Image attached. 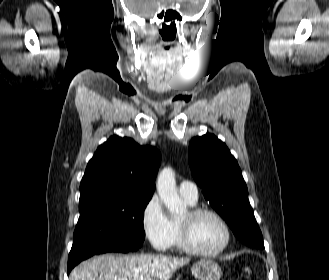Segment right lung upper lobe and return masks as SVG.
<instances>
[{"label": "right lung upper lobe", "instance_id": "obj_1", "mask_svg": "<svg viewBox=\"0 0 329 280\" xmlns=\"http://www.w3.org/2000/svg\"><path fill=\"white\" fill-rule=\"evenodd\" d=\"M160 152L133 139L112 136L89 161L80 183V203L120 196L152 197Z\"/></svg>", "mask_w": 329, "mask_h": 280}]
</instances>
